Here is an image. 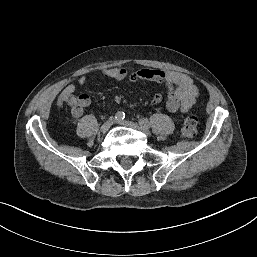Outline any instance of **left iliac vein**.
Instances as JSON below:
<instances>
[{
    "mask_svg": "<svg viewBox=\"0 0 257 257\" xmlns=\"http://www.w3.org/2000/svg\"><path fill=\"white\" fill-rule=\"evenodd\" d=\"M117 123L121 124V125H124V126H127V127H131V128L137 129V130L141 131L142 133H144L146 136L150 135V131H149L148 128H142L141 125H139L137 123H134L132 121L118 120Z\"/></svg>",
    "mask_w": 257,
    "mask_h": 257,
    "instance_id": "1",
    "label": "left iliac vein"
}]
</instances>
